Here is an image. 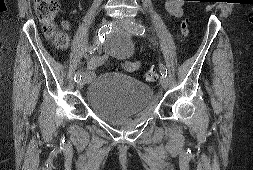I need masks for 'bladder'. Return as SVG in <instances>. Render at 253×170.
<instances>
[{"label": "bladder", "instance_id": "1", "mask_svg": "<svg viewBox=\"0 0 253 170\" xmlns=\"http://www.w3.org/2000/svg\"><path fill=\"white\" fill-rule=\"evenodd\" d=\"M153 97L150 85L120 72L98 75L86 90L89 108L102 120L115 125L141 116L151 107Z\"/></svg>", "mask_w": 253, "mask_h": 170}]
</instances>
